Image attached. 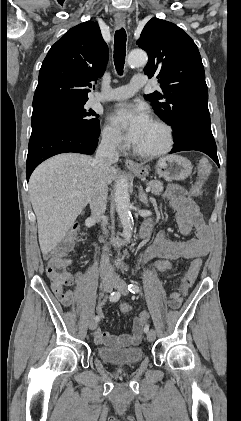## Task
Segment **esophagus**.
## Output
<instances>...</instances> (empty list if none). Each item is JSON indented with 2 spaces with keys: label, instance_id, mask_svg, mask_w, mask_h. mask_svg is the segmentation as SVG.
I'll return each mask as SVG.
<instances>
[{
  "label": "esophagus",
  "instance_id": "esophagus-1",
  "mask_svg": "<svg viewBox=\"0 0 241 421\" xmlns=\"http://www.w3.org/2000/svg\"><path fill=\"white\" fill-rule=\"evenodd\" d=\"M115 24H116V27L117 28H122V27H124L125 26V18L124 17H122V16H117L116 18H115ZM125 164H126V166L129 168V169H136V168H138L139 166H138V164L137 163H135L133 160H131V159H126V161H125Z\"/></svg>",
  "mask_w": 241,
  "mask_h": 421
}]
</instances>
